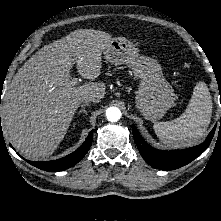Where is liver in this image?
I'll list each match as a JSON object with an SVG mask.
<instances>
[{
	"label": "liver",
	"mask_w": 221,
	"mask_h": 221,
	"mask_svg": "<svg viewBox=\"0 0 221 221\" xmlns=\"http://www.w3.org/2000/svg\"><path fill=\"white\" fill-rule=\"evenodd\" d=\"M113 40L102 31L76 30L42 48L18 70L3 96L2 123L22 155H52L80 103L104 98V83L73 85L70 69L76 64L82 78H98L102 52Z\"/></svg>",
	"instance_id": "6515ba94"
}]
</instances>
